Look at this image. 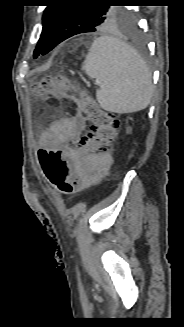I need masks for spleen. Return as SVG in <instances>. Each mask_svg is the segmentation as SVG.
Instances as JSON below:
<instances>
[{
  "label": "spleen",
  "instance_id": "obj_1",
  "mask_svg": "<svg viewBox=\"0 0 184 327\" xmlns=\"http://www.w3.org/2000/svg\"><path fill=\"white\" fill-rule=\"evenodd\" d=\"M83 69L100 83L96 97L103 109L132 113L149 105L153 93L150 70L140 55L123 41L110 36L95 39Z\"/></svg>",
  "mask_w": 184,
  "mask_h": 327
}]
</instances>
